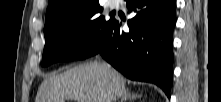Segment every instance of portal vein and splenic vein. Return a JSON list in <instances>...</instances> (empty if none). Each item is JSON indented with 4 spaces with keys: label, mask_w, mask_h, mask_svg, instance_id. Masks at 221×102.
<instances>
[{
    "label": "portal vein and splenic vein",
    "mask_w": 221,
    "mask_h": 102,
    "mask_svg": "<svg viewBox=\"0 0 221 102\" xmlns=\"http://www.w3.org/2000/svg\"><path fill=\"white\" fill-rule=\"evenodd\" d=\"M75 100H77V101H80V102H87V100H85V98H81V99H75Z\"/></svg>",
    "instance_id": "1"
}]
</instances>
